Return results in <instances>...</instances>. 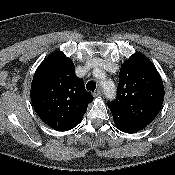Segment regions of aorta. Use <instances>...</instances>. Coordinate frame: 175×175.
I'll list each match as a JSON object with an SVG mask.
<instances>
[{
  "label": "aorta",
  "mask_w": 175,
  "mask_h": 175,
  "mask_svg": "<svg viewBox=\"0 0 175 175\" xmlns=\"http://www.w3.org/2000/svg\"><path fill=\"white\" fill-rule=\"evenodd\" d=\"M102 87L105 91L107 98L109 99L115 98V87L111 82L109 81L102 82Z\"/></svg>",
  "instance_id": "obj_1"
}]
</instances>
